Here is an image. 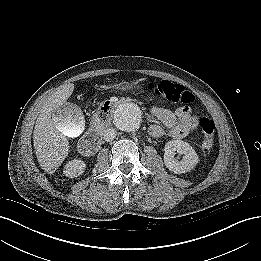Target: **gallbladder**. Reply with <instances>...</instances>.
<instances>
[{"label":"gallbladder","instance_id":"1","mask_svg":"<svg viewBox=\"0 0 261 261\" xmlns=\"http://www.w3.org/2000/svg\"><path fill=\"white\" fill-rule=\"evenodd\" d=\"M53 123L62 134L75 138L84 130V114L78 105L64 102L54 108Z\"/></svg>","mask_w":261,"mask_h":261}]
</instances>
